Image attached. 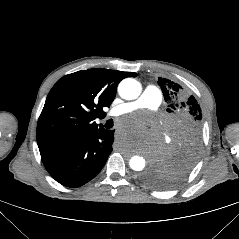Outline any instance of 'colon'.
<instances>
[{
    "label": "colon",
    "instance_id": "colon-1",
    "mask_svg": "<svg viewBox=\"0 0 239 239\" xmlns=\"http://www.w3.org/2000/svg\"><path fill=\"white\" fill-rule=\"evenodd\" d=\"M187 107H188V110H190V111L196 109V105L193 104V103H191V102L188 103V106H187Z\"/></svg>",
    "mask_w": 239,
    "mask_h": 239
}]
</instances>
